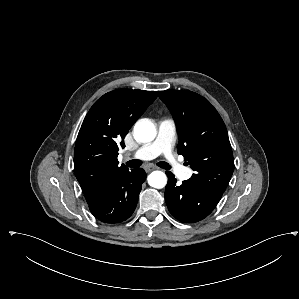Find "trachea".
Wrapping results in <instances>:
<instances>
[{"label": "trachea", "mask_w": 299, "mask_h": 299, "mask_svg": "<svg viewBox=\"0 0 299 299\" xmlns=\"http://www.w3.org/2000/svg\"><path fill=\"white\" fill-rule=\"evenodd\" d=\"M127 166L131 167V168H135V167H139L142 165V162L140 160L134 159V160H130L127 163ZM157 165L163 169L169 170L170 166L168 163L166 162H159L157 163Z\"/></svg>", "instance_id": "obj_1"}]
</instances>
